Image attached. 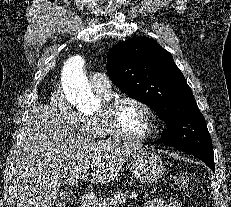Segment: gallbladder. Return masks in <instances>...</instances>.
Instances as JSON below:
<instances>
[{
	"label": "gallbladder",
	"mask_w": 231,
	"mask_h": 207,
	"mask_svg": "<svg viewBox=\"0 0 231 207\" xmlns=\"http://www.w3.org/2000/svg\"><path fill=\"white\" fill-rule=\"evenodd\" d=\"M74 200V195L68 192H60L54 201V204L58 207L65 206Z\"/></svg>",
	"instance_id": "bac80fb5"
}]
</instances>
